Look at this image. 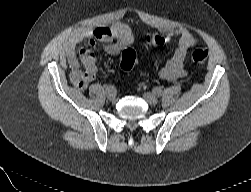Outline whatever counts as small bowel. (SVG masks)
<instances>
[{
    "label": "small bowel",
    "mask_w": 251,
    "mask_h": 192,
    "mask_svg": "<svg viewBox=\"0 0 251 192\" xmlns=\"http://www.w3.org/2000/svg\"><path fill=\"white\" fill-rule=\"evenodd\" d=\"M167 38L178 37V47L168 59L165 66L160 69L159 77L166 81H175L186 75L185 64L190 48L197 43V39L186 29H166ZM84 38L91 40L90 44L80 51V59L84 65L81 70L76 53V45ZM133 39L131 28L125 24L112 27L97 28L91 32H76L65 43V51L70 66V80L79 90H85L96 74L95 41L105 43L104 50L110 55H117L127 47Z\"/></svg>",
    "instance_id": "small-bowel-1"
}]
</instances>
